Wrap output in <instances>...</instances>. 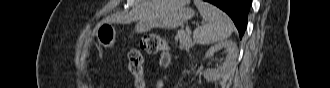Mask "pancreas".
<instances>
[{
    "instance_id": "1",
    "label": "pancreas",
    "mask_w": 330,
    "mask_h": 88,
    "mask_svg": "<svg viewBox=\"0 0 330 88\" xmlns=\"http://www.w3.org/2000/svg\"><path fill=\"white\" fill-rule=\"evenodd\" d=\"M175 43L178 45L179 49L186 51L193 46L190 33L183 30L178 31L175 37Z\"/></svg>"
}]
</instances>
